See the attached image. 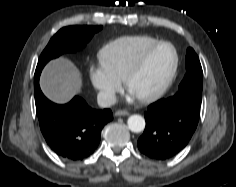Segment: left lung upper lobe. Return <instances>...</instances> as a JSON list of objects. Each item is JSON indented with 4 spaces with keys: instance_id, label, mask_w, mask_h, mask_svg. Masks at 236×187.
I'll use <instances>...</instances> for the list:
<instances>
[{
    "instance_id": "1",
    "label": "left lung upper lobe",
    "mask_w": 236,
    "mask_h": 187,
    "mask_svg": "<svg viewBox=\"0 0 236 187\" xmlns=\"http://www.w3.org/2000/svg\"><path fill=\"white\" fill-rule=\"evenodd\" d=\"M186 74L179 85L178 92L169 97L168 102L184 99L201 105L203 88V71L199 58L192 48L186 53Z\"/></svg>"
}]
</instances>
